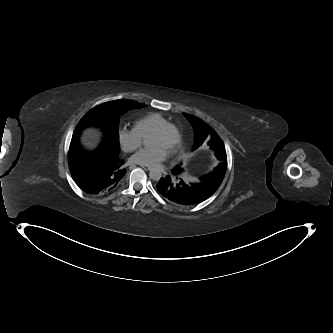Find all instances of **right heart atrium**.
Listing matches in <instances>:
<instances>
[{
	"mask_svg": "<svg viewBox=\"0 0 333 333\" xmlns=\"http://www.w3.org/2000/svg\"><path fill=\"white\" fill-rule=\"evenodd\" d=\"M118 139L122 149L128 153L134 152L143 143V137L135 127H121L118 131Z\"/></svg>",
	"mask_w": 333,
	"mask_h": 333,
	"instance_id": "right-heart-atrium-1",
	"label": "right heart atrium"
}]
</instances>
